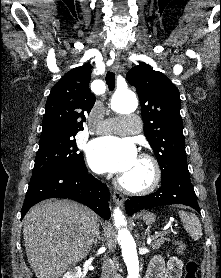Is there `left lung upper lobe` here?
<instances>
[{
    "label": "left lung upper lobe",
    "instance_id": "5c2ea615",
    "mask_svg": "<svg viewBox=\"0 0 221 278\" xmlns=\"http://www.w3.org/2000/svg\"><path fill=\"white\" fill-rule=\"evenodd\" d=\"M138 92L144 135L161 168L162 178L187 167L181 100L176 86L150 66L131 68L126 76Z\"/></svg>",
    "mask_w": 221,
    "mask_h": 278
}]
</instances>
